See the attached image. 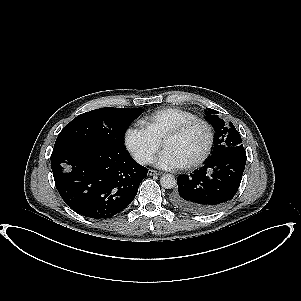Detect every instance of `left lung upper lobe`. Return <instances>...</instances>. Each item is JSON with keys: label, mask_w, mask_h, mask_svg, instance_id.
Listing matches in <instances>:
<instances>
[{"label": "left lung upper lobe", "mask_w": 301, "mask_h": 301, "mask_svg": "<svg viewBox=\"0 0 301 301\" xmlns=\"http://www.w3.org/2000/svg\"><path fill=\"white\" fill-rule=\"evenodd\" d=\"M205 119L213 126L216 131L213 153L211 156L222 152L225 148L242 145L241 136L236 128L231 124V128L225 127V123L213 109L205 110Z\"/></svg>", "instance_id": "1"}]
</instances>
